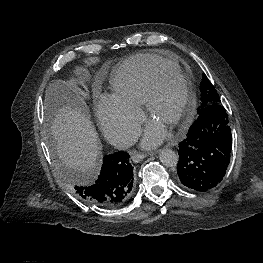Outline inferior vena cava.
I'll use <instances>...</instances> for the list:
<instances>
[{"mask_svg": "<svg viewBox=\"0 0 263 263\" xmlns=\"http://www.w3.org/2000/svg\"><path fill=\"white\" fill-rule=\"evenodd\" d=\"M113 134V144L118 148L127 149L136 142V137L124 126L115 128Z\"/></svg>", "mask_w": 263, "mask_h": 263, "instance_id": "obj_1", "label": "inferior vena cava"}]
</instances>
